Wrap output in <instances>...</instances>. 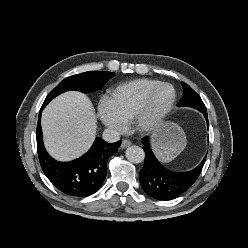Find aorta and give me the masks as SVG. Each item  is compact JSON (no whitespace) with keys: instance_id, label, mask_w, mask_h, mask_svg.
<instances>
[{"instance_id":"obj_1","label":"aorta","mask_w":248,"mask_h":248,"mask_svg":"<svg viewBox=\"0 0 248 248\" xmlns=\"http://www.w3.org/2000/svg\"><path fill=\"white\" fill-rule=\"evenodd\" d=\"M125 156L132 163H141L144 160V150L136 145L130 146L125 151Z\"/></svg>"}]
</instances>
